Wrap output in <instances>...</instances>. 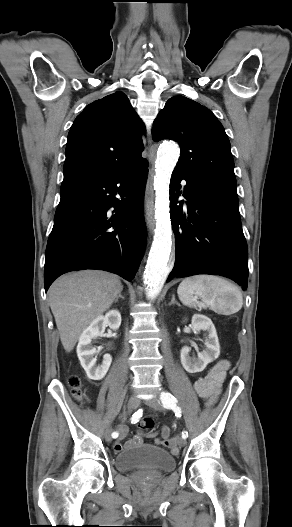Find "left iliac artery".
Here are the masks:
<instances>
[{
  "label": "left iliac artery",
  "mask_w": 292,
  "mask_h": 527,
  "mask_svg": "<svg viewBox=\"0 0 292 527\" xmlns=\"http://www.w3.org/2000/svg\"><path fill=\"white\" fill-rule=\"evenodd\" d=\"M160 400L163 406L167 409H172L177 417H181V408L178 406V400L169 392L163 391L160 395ZM188 437L187 431H182V438L186 439Z\"/></svg>",
  "instance_id": "obj_1"
}]
</instances>
